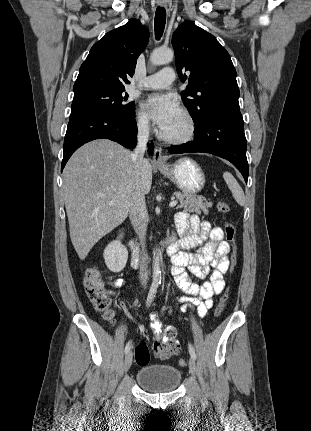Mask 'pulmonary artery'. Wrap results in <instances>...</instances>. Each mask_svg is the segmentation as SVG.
I'll list each match as a JSON object with an SVG mask.
<instances>
[{"label": "pulmonary artery", "mask_w": 311, "mask_h": 431, "mask_svg": "<svg viewBox=\"0 0 311 431\" xmlns=\"http://www.w3.org/2000/svg\"><path fill=\"white\" fill-rule=\"evenodd\" d=\"M174 81V70L170 67H164L158 72L145 77L141 85L146 89H164L170 87Z\"/></svg>", "instance_id": "e3ab8cb5"}]
</instances>
